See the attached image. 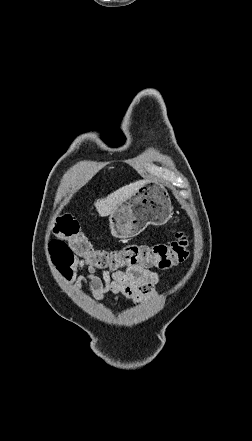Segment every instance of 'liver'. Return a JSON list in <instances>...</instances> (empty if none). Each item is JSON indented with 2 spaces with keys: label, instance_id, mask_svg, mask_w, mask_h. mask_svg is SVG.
<instances>
[{
  "label": "liver",
  "instance_id": "1",
  "mask_svg": "<svg viewBox=\"0 0 252 441\" xmlns=\"http://www.w3.org/2000/svg\"><path fill=\"white\" fill-rule=\"evenodd\" d=\"M145 184V180L136 181L121 187L106 198L98 199L94 203L96 210L102 217L112 214L119 204L136 193Z\"/></svg>",
  "mask_w": 252,
  "mask_h": 441
}]
</instances>
